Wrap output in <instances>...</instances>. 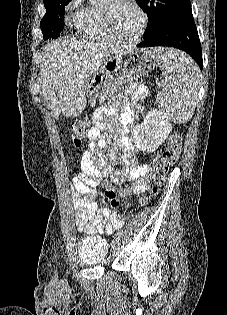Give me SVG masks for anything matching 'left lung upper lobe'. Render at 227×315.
I'll use <instances>...</instances> for the list:
<instances>
[{"mask_svg":"<svg viewBox=\"0 0 227 315\" xmlns=\"http://www.w3.org/2000/svg\"><path fill=\"white\" fill-rule=\"evenodd\" d=\"M136 2L147 13L150 21L144 34L173 16L191 11L190 0H136Z\"/></svg>","mask_w":227,"mask_h":315,"instance_id":"5c2ea615","label":"left lung upper lobe"}]
</instances>
